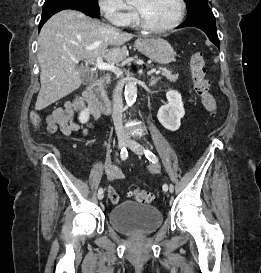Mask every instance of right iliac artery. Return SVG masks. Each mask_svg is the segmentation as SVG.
Listing matches in <instances>:
<instances>
[{"label": "right iliac artery", "instance_id": "right-iliac-artery-1", "mask_svg": "<svg viewBox=\"0 0 261 273\" xmlns=\"http://www.w3.org/2000/svg\"><path fill=\"white\" fill-rule=\"evenodd\" d=\"M120 156H121V159H122V160H126V159H127V157H128V152H127L126 148H122L121 153H120ZM98 193H103V189H102V188H99Z\"/></svg>", "mask_w": 261, "mask_h": 273}]
</instances>
